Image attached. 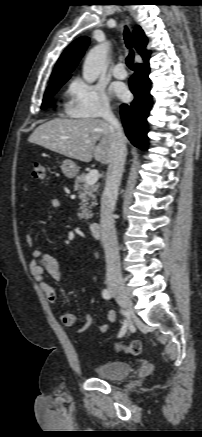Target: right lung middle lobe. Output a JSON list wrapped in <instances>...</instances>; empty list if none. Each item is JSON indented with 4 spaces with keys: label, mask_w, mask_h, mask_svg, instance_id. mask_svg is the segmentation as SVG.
I'll list each match as a JSON object with an SVG mask.
<instances>
[{
    "label": "right lung middle lobe",
    "mask_w": 202,
    "mask_h": 437,
    "mask_svg": "<svg viewBox=\"0 0 202 437\" xmlns=\"http://www.w3.org/2000/svg\"><path fill=\"white\" fill-rule=\"evenodd\" d=\"M68 79H63V80H60V81H57V82H55V83H53V84H51V85H49V87L47 88V90H46V92H45V95H44V99H43V103H42V109H45L47 106H48V104H49V102H50V100H51V98H52V96L59 90V88L67 81Z\"/></svg>",
    "instance_id": "dd1d6c3e"
}]
</instances>
